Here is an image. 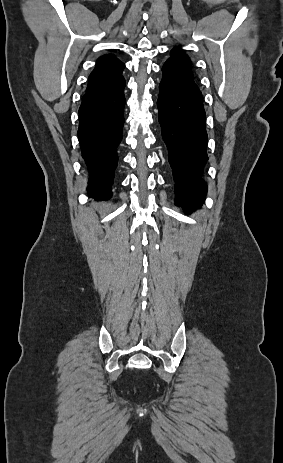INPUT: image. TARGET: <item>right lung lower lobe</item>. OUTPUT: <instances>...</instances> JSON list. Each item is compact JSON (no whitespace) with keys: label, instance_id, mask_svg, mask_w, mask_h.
I'll list each match as a JSON object with an SVG mask.
<instances>
[{"label":"right lung lower lobe","instance_id":"98d812e1","mask_svg":"<svg viewBox=\"0 0 283 463\" xmlns=\"http://www.w3.org/2000/svg\"><path fill=\"white\" fill-rule=\"evenodd\" d=\"M125 79L123 76L86 90L79 108L78 138L90 173L89 194L97 199L111 197V185L122 140Z\"/></svg>","mask_w":283,"mask_h":463}]
</instances>
